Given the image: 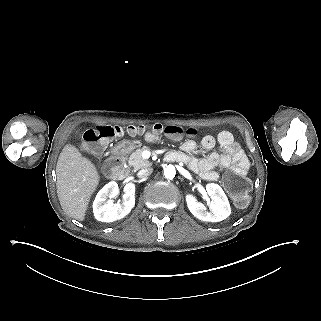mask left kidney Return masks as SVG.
I'll return each instance as SVG.
<instances>
[{"instance_id":"left-kidney-1","label":"left kidney","mask_w":321,"mask_h":321,"mask_svg":"<svg viewBox=\"0 0 321 321\" xmlns=\"http://www.w3.org/2000/svg\"><path fill=\"white\" fill-rule=\"evenodd\" d=\"M206 191L212 201L209 205L210 212L206 211L204 204L197 201L193 195H186V202L190 212L199 220L220 222L231 214V207L223 189L215 183L206 185Z\"/></svg>"}]
</instances>
